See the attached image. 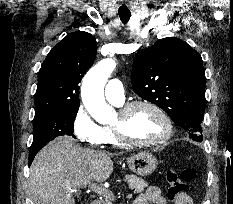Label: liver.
<instances>
[{"label": "liver", "instance_id": "1", "mask_svg": "<svg viewBox=\"0 0 233 204\" xmlns=\"http://www.w3.org/2000/svg\"><path fill=\"white\" fill-rule=\"evenodd\" d=\"M110 154L80 147L70 136L49 142L34 158L29 188L34 204H75L74 193L92 181H106L112 171Z\"/></svg>", "mask_w": 233, "mask_h": 204}]
</instances>
